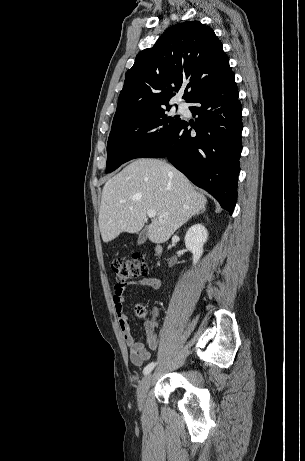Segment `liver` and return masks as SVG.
Here are the masks:
<instances>
[{
	"label": "liver",
	"mask_w": 305,
	"mask_h": 461,
	"mask_svg": "<svg viewBox=\"0 0 305 461\" xmlns=\"http://www.w3.org/2000/svg\"><path fill=\"white\" fill-rule=\"evenodd\" d=\"M206 197L168 163L138 159L109 179L102 191L99 228L106 243L120 233L139 232L148 210L156 216L147 228L153 243L166 242L192 216L205 209ZM165 216L160 218V215Z\"/></svg>",
	"instance_id": "1"
}]
</instances>
